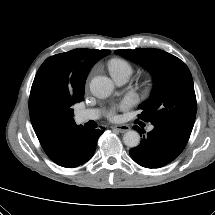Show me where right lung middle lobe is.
<instances>
[{
    "label": "right lung middle lobe",
    "mask_w": 215,
    "mask_h": 215,
    "mask_svg": "<svg viewBox=\"0 0 215 215\" xmlns=\"http://www.w3.org/2000/svg\"><path fill=\"white\" fill-rule=\"evenodd\" d=\"M43 84H41L36 102L38 106L49 113H59L63 109L69 110L72 103H67L56 93L47 83L48 76L43 75Z\"/></svg>",
    "instance_id": "1"
}]
</instances>
